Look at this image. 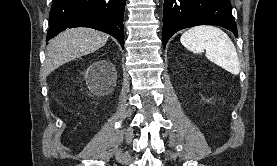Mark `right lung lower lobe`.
I'll list each match as a JSON object with an SVG mask.
<instances>
[{
  "label": "right lung lower lobe",
  "mask_w": 277,
  "mask_h": 166,
  "mask_svg": "<svg viewBox=\"0 0 277 166\" xmlns=\"http://www.w3.org/2000/svg\"><path fill=\"white\" fill-rule=\"evenodd\" d=\"M126 0H54L46 41L72 27L108 33L124 46L123 17Z\"/></svg>",
  "instance_id": "1"
}]
</instances>
